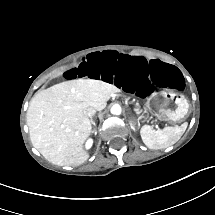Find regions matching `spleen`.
I'll list each match as a JSON object with an SVG mask.
<instances>
[{"instance_id": "1", "label": "spleen", "mask_w": 215, "mask_h": 215, "mask_svg": "<svg viewBox=\"0 0 215 215\" xmlns=\"http://www.w3.org/2000/svg\"><path fill=\"white\" fill-rule=\"evenodd\" d=\"M141 137L149 148L160 149L176 143L181 134L177 126H166L160 130H155L151 125H143Z\"/></svg>"}]
</instances>
